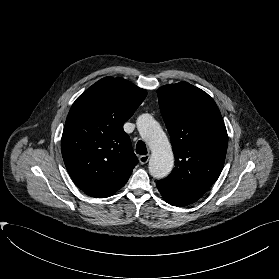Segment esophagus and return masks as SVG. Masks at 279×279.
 I'll list each match as a JSON object with an SVG mask.
<instances>
[{
	"mask_svg": "<svg viewBox=\"0 0 279 279\" xmlns=\"http://www.w3.org/2000/svg\"><path fill=\"white\" fill-rule=\"evenodd\" d=\"M149 159H150V155H142V156H140L139 157V162L141 163V164H146L148 161H149Z\"/></svg>",
	"mask_w": 279,
	"mask_h": 279,
	"instance_id": "1",
	"label": "esophagus"
}]
</instances>
